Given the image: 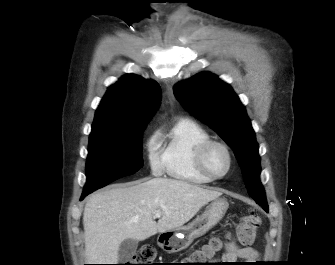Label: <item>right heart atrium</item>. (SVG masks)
<instances>
[{
    "label": "right heart atrium",
    "instance_id": "right-heart-atrium-1",
    "mask_svg": "<svg viewBox=\"0 0 335 265\" xmlns=\"http://www.w3.org/2000/svg\"><path fill=\"white\" fill-rule=\"evenodd\" d=\"M159 141L156 136H152L147 143V153L150 167L154 173H160L163 169L161 155L158 152Z\"/></svg>",
    "mask_w": 335,
    "mask_h": 265
}]
</instances>
